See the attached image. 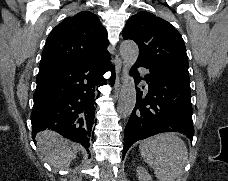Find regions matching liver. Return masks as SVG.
I'll list each match as a JSON object with an SVG mask.
<instances>
[{
    "mask_svg": "<svg viewBox=\"0 0 228 181\" xmlns=\"http://www.w3.org/2000/svg\"><path fill=\"white\" fill-rule=\"evenodd\" d=\"M37 147L41 151L42 159L50 163L51 167H66L77 157L79 145L63 139L55 131H41L36 135Z\"/></svg>",
    "mask_w": 228,
    "mask_h": 181,
    "instance_id": "1",
    "label": "liver"
}]
</instances>
